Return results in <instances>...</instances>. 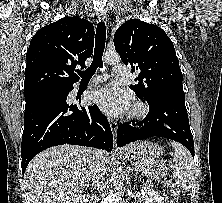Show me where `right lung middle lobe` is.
<instances>
[{
	"instance_id": "right-lung-middle-lobe-1",
	"label": "right lung middle lobe",
	"mask_w": 222,
	"mask_h": 203,
	"mask_svg": "<svg viewBox=\"0 0 222 203\" xmlns=\"http://www.w3.org/2000/svg\"><path fill=\"white\" fill-rule=\"evenodd\" d=\"M50 90V89H49ZM44 91H47V90H43V91H40V92H44ZM40 92H36V93H40ZM36 93H32V94H24L25 98L33 95V94H36Z\"/></svg>"
}]
</instances>
